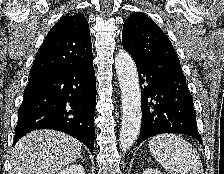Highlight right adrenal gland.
<instances>
[{"label":"right adrenal gland","mask_w":224,"mask_h":174,"mask_svg":"<svg viewBox=\"0 0 224 174\" xmlns=\"http://www.w3.org/2000/svg\"><path fill=\"white\" fill-rule=\"evenodd\" d=\"M78 158L82 159L83 161H85V159H84V157L82 155H80Z\"/></svg>","instance_id":"obj_1"}]
</instances>
